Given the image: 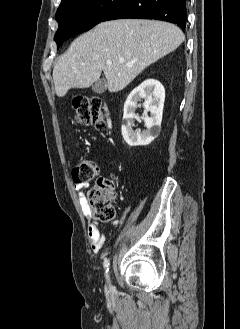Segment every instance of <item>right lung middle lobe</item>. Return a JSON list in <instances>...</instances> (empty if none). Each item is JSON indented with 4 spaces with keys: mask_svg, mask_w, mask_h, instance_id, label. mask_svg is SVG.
Here are the masks:
<instances>
[{
    "mask_svg": "<svg viewBox=\"0 0 240 329\" xmlns=\"http://www.w3.org/2000/svg\"><path fill=\"white\" fill-rule=\"evenodd\" d=\"M123 0H72L58 8L59 24L54 36L57 47L68 38L87 31L102 22Z\"/></svg>",
    "mask_w": 240,
    "mask_h": 329,
    "instance_id": "obj_1",
    "label": "right lung middle lobe"
}]
</instances>
